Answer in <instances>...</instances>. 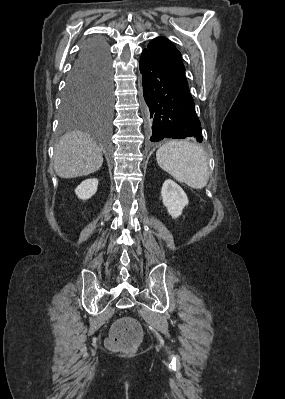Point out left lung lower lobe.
<instances>
[{"label":"left lung lower lobe","mask_w":285,"mask_h":399,"mask_svg":"<svg viewBox=\"0 0 285 399\" xmlns=\"http://www.w3.org/2000/svg\"><path fill=\"white\" fill-rule=\"evenodd\" d=\"M139 69L152 124L150 141L194 136L202 142L201 124L187 80L175 74L147 48L142 51Z\"/></svg>","instance_id":"0a47b994"}]
</instances>
